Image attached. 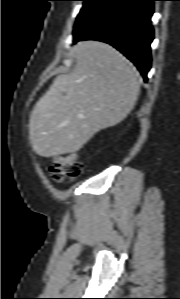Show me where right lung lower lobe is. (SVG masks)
<instances>
[{"instance_id": "obj_1", "label": "right lung lower lobe", "mask_w": 180, "mask_h": 299, "mask_svg": "<svg viewBox=\"0 0 180 299\" xmlns=\"http://www.w3.org/2000/svg\"><path fill=\"white\" fill-rule=\"evenodd\" d=\"M155 0H106L91 14L76 23L74 42H106L130 59L147 81L151 67V24Z\"/></svg>"}]
</instances>
